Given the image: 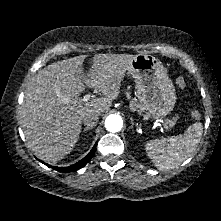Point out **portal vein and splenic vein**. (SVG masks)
I'll return each instance as SVG.
<instances>
[{
    "mask_svg": "<svg viewBox=\"0 0 221 221\" xmlns=\"http://www.w3.org/2000/svg\"><path fill=\"white\" fill-rule=\"evenodd\" d=\"M89 99H90V95H85L84 97H83V102L84 103H87L88 101H89ZM165 128H167L168 127V124H167V122H164L163 120H158Z\"/></svg>",
    "mask_w": 221,
    "mask_h": 221,
    "instance_id": "18ae733b",
    "label": "portal vein and splenic vein"
}]
</instances>
